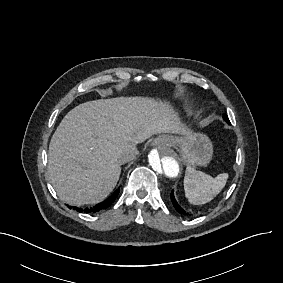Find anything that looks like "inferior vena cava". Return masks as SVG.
<instances>
[{"mask_svg":"<svg viewBox=\"0 0 283 283\" xmlns=\"http://www.w3.org/2000/svg\"><path fill=\"white\" fill-rule=\"evenodd\" d=\"M139 151L133 145H128L125 147L124 151L119 153L116 158V161L120 164H124L129 161H133L136 159L137 154Z\"/></svg>","mask_w":283,"mask_h":283,"instance_id":"1","label":"inferior vena cava"}]
</instances>
